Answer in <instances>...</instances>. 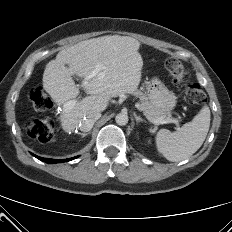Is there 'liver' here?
Segmentation results:
<instances>
[{"label":"liver","mask_w":232,"mask_h":232,"mask_svg":"<svg viewBox=\"0 0 232 232\" xmlns=\"http://www.w3.org/2000/svg\"><path fill=\"white\" fill-rule=\"evenodd\" d=\"M139 47L140 42L132 37L102 36L70 46L46 64L43 88L57 105L79 95L72 75L85 79L94 70L98 71L82 85L89 96L60 116L65 132H73L89 114L103 112L112 97L137 90L143 66Z\"/></svg>","instance_id":"liver-1"}]
</instances>
